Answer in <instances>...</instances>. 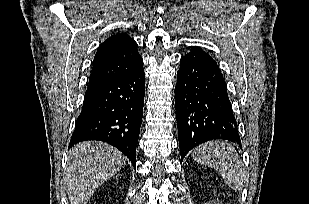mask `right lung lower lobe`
<instances>
[{"label":"right lung lower lobe","mask_w":309,"mask_h":204,"mask_svg":"<svg viewBox=\"0 0 309 204\" xmlns=\"http://www.w3.org/2000/svg\"><path fill=\"white\" fill-rule=\"evenodd\" d=\"M143 66L88 87L69 147L87 140L107 142L136 166V146L145 95Z\"/></svg>","instance_id":"1"}]
</instances>
